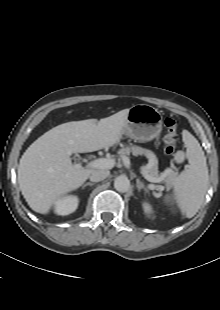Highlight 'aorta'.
I'll list each match as a JSON object with an SVG mask.
<instances>
[{"label": "aorta", "instance_id": "762f6f07", "mask_svg": "<svg viewBox=\"0 0 220 310\" xmlns=\"http://www.w3.org/2000/svg\"><path fill=\"white\" fill-rule=\"evenodd\" d=\"M114 188L118 191V192H127L130 188V181L126 176H118L115 178L114 180Z\"/></svg>", "mask_w": 220, "mask_h": 310}]
</instances>
